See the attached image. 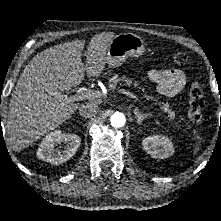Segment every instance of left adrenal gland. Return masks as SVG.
I'll list each match as a JSON object with an SVG mask.
<instances>
[{
    "mask_svg": "<svg viewBox=\"0 0 221 221\" xmlns=\"http://www.w3.org/2000/svg\"><path fill=\"white\" fill-rule=\"evenodd\" d=\"M134 114H135V116L137 118V123L139 125L142 124L144 119L148 118L151 115V114H143L137 108L134 109Z\"/></svg>",
    "mask_w": 221,
    "mask_h": 221,
    "instance_id": "1",
    "label": "left adrenal gland"
}]
</instances>
